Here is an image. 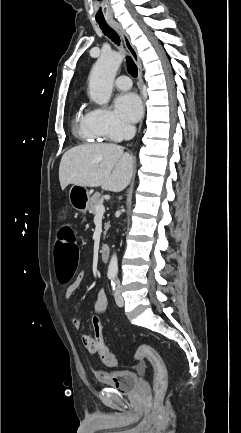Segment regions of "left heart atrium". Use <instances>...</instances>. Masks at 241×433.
<instances>
[{"mask_svg": "<svg viewBox=\"0 0 241 433\" xmlns=\"http://www.w3.org/2000/svg\"><path fill=\"white\" fill-rule=\"evenodd\" d=\"M116 113L126 122H136L142 114V102L134 93H123L114 101Z\"/></svg>", "mask_w": 241, "mask_h": 433, "instance_id": "39dd6f15", "label": "left heart atrium"}]
</instances>
